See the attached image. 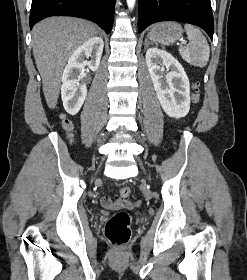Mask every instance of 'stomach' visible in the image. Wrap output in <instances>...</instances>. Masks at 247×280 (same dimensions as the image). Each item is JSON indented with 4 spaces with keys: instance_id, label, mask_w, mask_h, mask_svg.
I'll return each instance as SVG.
<instances>
[{
    "instance_id": "obj_1",
    "label": "stomach",
    "mask_w": 247,
    "mask_h": 280,
    "mask_svg": "<svg viewBox=\"0 0 247 280\" xmlns=\"http://www.w3.org/2000/svg\"><path fill=\"white\" fill-rule=\"evenodd\" d=\"M182 27L175 22H165L156 24L148 33V38L156 43L169 45L182 36Z\"/></svg>"
}]
</instances>
